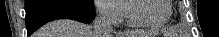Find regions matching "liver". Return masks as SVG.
I'll list each match as a JSON object with an SVG mask.
<instances>
[{"label":"liver","instance_id":"6515ba94","mask_svg":"<svg viewBox=\"0 0 219 37\" xmlns=\"http://www.w3.org/2000/svg\"><path fill=\"white\" fill-rule=\"evenodd\" d=\"M34 35V37H95L91 26L68 19L50 22ZM120 35H122L120 37H129L126 36L129 35L128 33Z\"/></svg>","mask_w":219,"mask_h":37}]
</instances>
